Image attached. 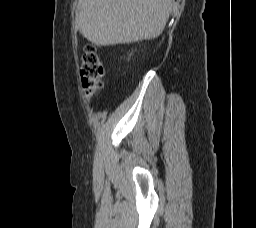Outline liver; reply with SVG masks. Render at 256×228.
Returning <instances> with one entry per match:
<instances>
[{"instance_id": "6515ba94", "label": "liver", "mask_w": 256, "mask_h": 228, "mask_svg": "<svg viewBox=\"0 0 256 228\" xmlns=\"http://www.w3.org/2000/svg\"><path fill=\"white\" fill-rule=\"evenodd\" d=\"M76 27L97 46L157 38L172 10V0H79Z\"/></svg>"}]
</instances>
